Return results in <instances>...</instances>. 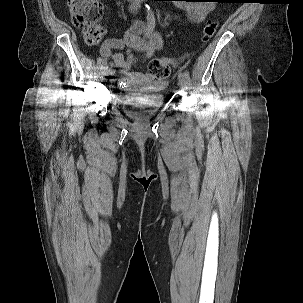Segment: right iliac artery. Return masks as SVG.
Returning a JSON list of instances; mask_svg holds the SVG:
<instances>
[{"mask_svg":"<svg viewBox=\"0 0 303 303\" xmlns=\"http://www.w3.org/2000/svg\"><path fill=\"white\" fill-rule=\"evenodd\" d=\"M147 26H148V33L149 31L153 30L155 27V17L154 15L151 16H147ZM148 33H146V35H148ZM109 74H114L115 73V68L113 66H111L108 70Z\"/></svg>","mask_w":303,"mask_h":303,"instance_id":"82829eb1","label":"right iliac artery"}]
</instances>
